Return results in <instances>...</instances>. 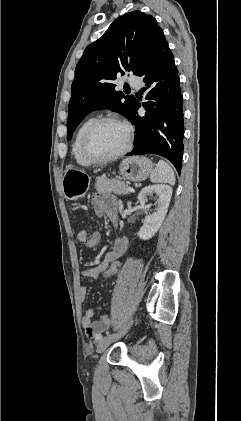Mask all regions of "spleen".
<instances>
[{"label": "spleen", "mask_w": 241, "mask_h": 421, "mask_svg": "<svg viewBox=\"0 0 241 421\" xmlns=\"http://www.w3.org/2000/svg\"><path fill=\"white\" fill-rule=\"evenodd\" d=\"M150 180L153 183H168L174 185L176 178L171 166L164 160H160L152 171Z\"/></svg>", "instance_id": "3e777b00"}]
</instances>
